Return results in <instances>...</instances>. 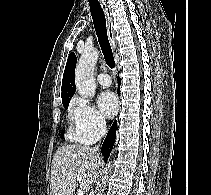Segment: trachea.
I'll return each instance as SVG.
<instances>
[{
    "mask_svg": "<svg viewBox=\"0 0 211 195\" xmlns=\"http://www.w3.org/2000/svg\"><path fill=\"white\" fill-rule=\"evenodd\" d=\"M91 16L98 37L104 59L109 68L115 67L112 49L107 36L106 19L103 9L98 1L89 0Z\"/></svg>",
    "mask_w": 211,
    "mask_h": 195,
    "instance_id": "trachea-1",
    "label": "trachea"
}]
</instances>
